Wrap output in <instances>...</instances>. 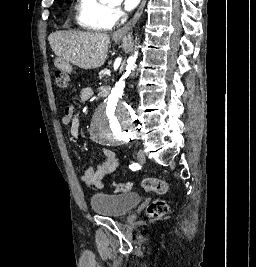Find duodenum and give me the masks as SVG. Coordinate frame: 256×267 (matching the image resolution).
Listing matches in <instances>:
<instances>
[{"label": "duodenum", "instance_id": "duodenum-1", "mask_svg": "<svg viewBox=\"0 0 256 267\" xmlns=\"http://www.w3.org/2000/svg\"><path fill=\"white\" fill-rule=\"evenodd\" d=\"M60 73H72V68H60ZM99 99H108L109 95L111 93V90L108 89V85H102V83H99Z\"/></svg>", "mask_w": 256, "mask_h": 267}]
</instances>
